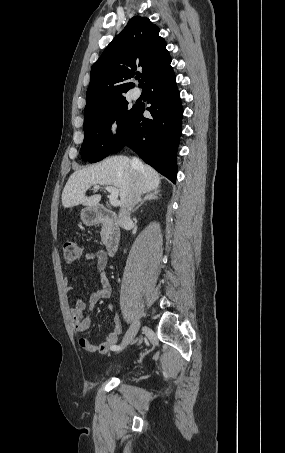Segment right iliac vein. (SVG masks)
Instances as JSON below:
<instances>
[{
  "label": "right iliac vein",
  "instance_id": "1",
  "mask_svg": "<svg viewBox=\"0 0 285 453\" xmlns=\"http://www.w3.org/2000/svg\"><path fill=\"white\" fill-rule=\"evenodd\" d=\"M139 328H140V321L138 318H135L122 340L121 348H124L125 346H127L128 344H130L133 341Z\"/></svg>",
  "mask_w": 285,
  "mask_h": 453
}]
</instances>
